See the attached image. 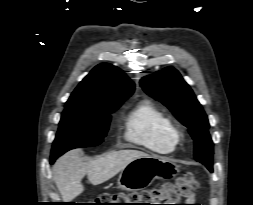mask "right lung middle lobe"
<instances>
[{"label": "right lung middle lobe", "mask_w": 253, "mask_h": 205, "mask_svg": "<svg viewBox=\"0 0 253 205\" xmlns=\"http://www.w3.org/2000/svg\"><path fill=\"white\" fill-rule=\"evenodd\" d=\"M126 99L112 100L98 108L65 107L53 142L51 157L58 158L73 148L102 143L109 128L110 113Z\"/></svg>", "instance_id": "1"}]
</instances>
